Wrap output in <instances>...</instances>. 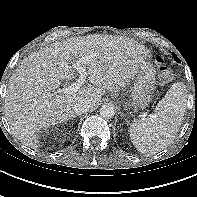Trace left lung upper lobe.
<instances>
[{
	"mask_svg": "<svg viewBox=\"0 0 197 197\" xmlns=\"http://www.w3.org/2000/svg\"><path fill=\"white\" fill-rule=\"evenodd\" d=\"M173 57H174L175 61L180 62L178 57L174 53H173Z\"/></svg>",
	"mask_w": 197,
	"mask_h": 197,
	"instance_id": "obj_1",
	"label": "left lung upper lobe"
}]
</instances>
